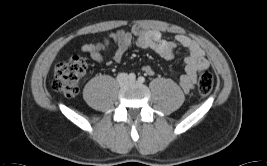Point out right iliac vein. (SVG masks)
I'll return each mask as SVG.
<instances>
[{
	"mask_svg": "<svg viewBox=\"0 0 267 166\" xmlns=\"http://www.w3.org/2000/svg\"><path fill=\"white\" fill-rule=\"evenodd\" d=\"M118 82L119 84L122 86L124 84H126L128 81H127V77L125 75H122L118 78Z\"/></svg>",
	"mask_w": 267,
	"mask_h": 166,
	"instance_id": "obj_1",
	"label": "right iliac vein"
}]
</instances>
